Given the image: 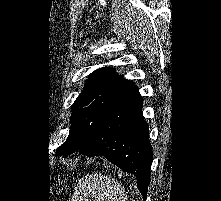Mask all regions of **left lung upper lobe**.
I'll list each match as a JSON object with an SVG mask.
<instances>
[{"label": "left lung upper lobe", "mask_w": 221, "mask_h": 201, "mask_svg": "<svg viewBox=\"0 0 221 201\" xmlns=\"http://www.w3.org/2000/svg\"><path fill=\"white\" fill-rule=\"evenodd\" d=\"M137 90L132 82L120 77L112 68L93 72L72 106L69 136L56 153L66 156L78 151L107 113Z\"/></svg>", "instance_id": "5c2ea615"}]
</instances>
